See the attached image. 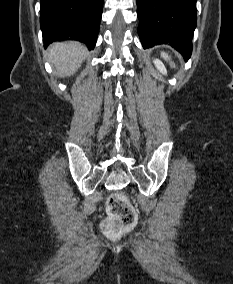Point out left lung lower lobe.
<instances>
[{"label": "left lung lower lobe", "mask_w": 233, "mask_h": 284, "mask_svg": "<svg viewBox=\"0 0 233 284\" xmlns=\"http://www.w3.org/2000/svg\"><path fill=\"white\" fill-rule=\"evenodd\" d=\"M197 0H137L138 34L144 49L169 44L188 60Z\"/></svg>", "instance_id": "left-lung-lower-lobe-1"}]
</instances>
